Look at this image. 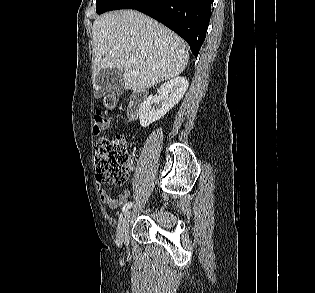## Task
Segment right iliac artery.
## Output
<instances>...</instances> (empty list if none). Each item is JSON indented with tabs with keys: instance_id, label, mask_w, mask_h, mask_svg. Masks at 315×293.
<instances>
[{
	"instance_id": "right-iliac-artery-1",
	"label": "right iliac artery",
	"mask_w": 315,
	"mask_h": 293,
	"mask_svg": "<svg viewBox=\"0 0 315 293\" xmlns=\"http://www.w3.org/2000/svg\"><path fill=\"white\" fill-rule=\"evenodd\" d=\"M132 205H133L132 202L126 203L122 208V212H126L129 208H131Z\"/></svg>"
}]
</instances>
